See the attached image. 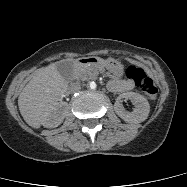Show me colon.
Instances as JSON below:
<instances>
[{"label": "colon", "instance_id": "5ec220e1", "mask_svg": "<svg viewBox=\"0 0 187 187\" xmlns=\"http://www.w3.org/2000/svg\"><path fill=\"white\" fill-rule=\"evenodd\" d=\"M126 75L131 79L148 98L154 99L157 95V87L154 81L148 77L145 71L135 65H129Z\"/></svg>", "mask_w": 187, "mask_h": 187}]
</instances>
